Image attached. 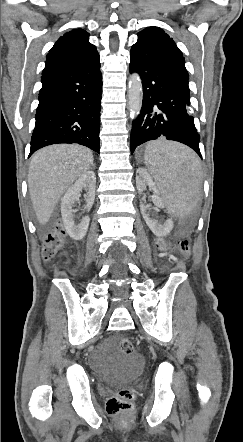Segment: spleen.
<instances>
[{"label":"spleen","instance_id":"spleen-1","mask_svg":"<svg viewBox=\"0 0 243 442\" xmlns=\"http://www.w3.org/2000/svg\"><path fill=\"white\" fill-rule=\"evenodd\" d=\"M144 159V169L150 171L163 199L168 202L164 205V214H174L176 219L195 214L198 193L187 192L199 189L196 181L200 163L196 154L181 144L158 140L147 144Z\"/></svg>","mask_w":243,"mask_h":442}]
</instances>
